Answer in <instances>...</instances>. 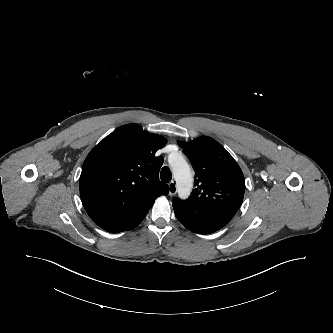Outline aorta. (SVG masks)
<instances>
[{
    "label": "aorta",
    "instance_id": "aorta-1",
    "mask_svg": "<svg viewBox=\"0 0 333 333\" xmlns=\"http://www.w3.org/2000/svg\"><path fill=\"white\" fill-rule=\"evenodd\" d=\"M172 175L177 184V192L181 199H187L191 193L193 176L191 168L181 154H176L170 161Z\"/></svg>",
    "mask_w": 333,
    "mask_h": 333
}]
</instances>
